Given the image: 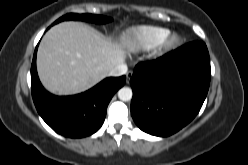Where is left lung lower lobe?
Returning <instances> with one entry per match:
<instances>
[{
	"instance_id": "obj_1",
	"label": "left lung lower lobe",
	"mask_w": 248,
	"mask_h": 165,
	"mask_svg": "<svg viewBox=\"0 0 248 165\" xmlns=\"http://www.w3.org/2000/svg\"><path fill=\"white\" fill-rule=\"evenodd\" d=\"M210 79L209 53L201 41L138 64L130 79L133 120L151 135L174 134L198 114Z\"/></svg>"
}]
</instances>
